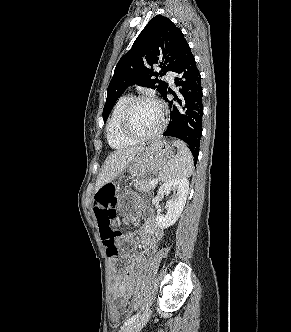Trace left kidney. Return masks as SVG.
Returning a JSON list of instances; mask_svg holds the SVG:
<instances>
[{
    "instance_id": "5707ae66",
    "label": "left kidney",
    "mask_w": 291,
    "mask_h": 332,
    "mask_svg": "<svg viewBox=\"0 0 291 332\" xmlns=\"http://www.w3.org/2000/svg\"><path fill=\"white\" fill-rule=\"evenodd\" d=\"M189 181L186 178L173 179L162 184L158 196L163 197L173 191L172 198L166 202V215L157 214L156 222L161 229L173 225L180 217L186 203Z\"/></svg>"
}]
</instances>
